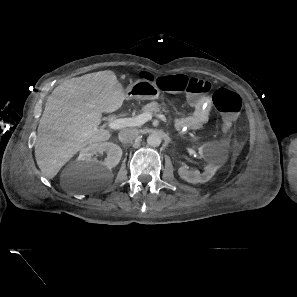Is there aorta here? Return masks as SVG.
<instances>
[{
  "label": "aorta",
  "mask_w": 297,
  "mask_h": 297,
  "mask_svg": "<svg viewBox=\"0 0 297 297\" xmlns=\"http://www.w3.org/2000/svg\"><path fill=\"white\" fill-rule=\"evenodd\" d=\"M161 142H162V138L157 133L151 134L147 138V144L153 147L159 146Z\"/></svg>",
  "instance_id": "762f6f07"
}]
</instances>
